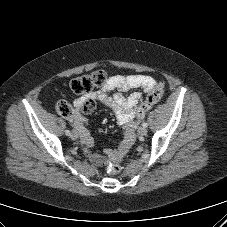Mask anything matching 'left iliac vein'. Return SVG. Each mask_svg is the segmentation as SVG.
<instances>
[{
	"label": "left iliac vein",
	"mask_w": 227,
	"mask_h": 227,
	"mask_svg": "<svg viewBox=\"0 0 227 227\" xmlns=\"http://www.w3.org/2000/svg\"><path fill=\"white\" fill-rule=\"evenodd\" d=\"M138 134H139L140 136H145V135L147 134V129L144 128V127H140V128L138 129Z\"/></svg>",
	"instance_id": "obj_1"
}]
</instances>
